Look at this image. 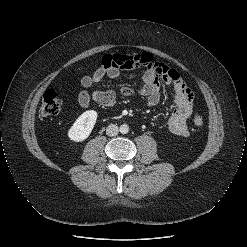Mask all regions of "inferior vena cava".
<instances>
[{"instance_id":"602c4592","label":"inferior vena cava","mask_w":247,"mask_h":247,"mask_svg":"<svg viewBox=\"0 0 247 247\" xmlns=\"http://www.w3.org/2000/svg\"><path fill=\"white\" fill-rule=\"evenodd\" d=\"M119 132V128L117 125L115 124H110L107 128H106V134L108 136H116Z\"/></svg>"}]
</instances>
